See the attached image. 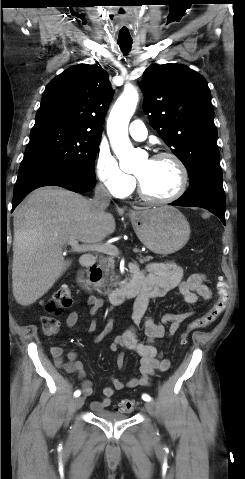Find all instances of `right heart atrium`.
<instances>
[{
	"mask_svg": "<svg viewBox=\"0 0 245 479\" xmlns=\"http://www.w3.org/2000/svg\"><path fill=\"white\" fill-rule=\"evenodd\" d=\"M96 174L103 188L117 198L129 195L135 185L134 177L125 173L110 150L103 146L97 153Z\"/></svg>",
	"mask_w": 245,
	"mask_h": 479,
	"instance_id": "d8ad5b80",
	"label": "right heart atrium"
}]
</instances>
